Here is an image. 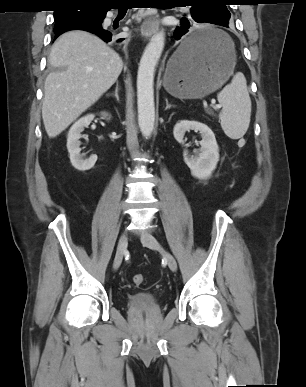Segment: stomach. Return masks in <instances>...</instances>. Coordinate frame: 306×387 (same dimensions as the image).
Instances as JSON below:
<instances>
[{
  "instance_id": "obj_1",
  "label": "stomach",
  "mask_w": 306,
  "mask_h": 387,
  "mask_svg": "<svg viewBox=\"0 0 306 387\" xmlns=\"http://www.w3.org/2000/svg\"><path fill=\"white\" fill-rule=\"evenodd\" d=\"M209 31L217 36L209 49L194 56H184L181 45L169 59L163 85L171 95L184 99L202 98L220 88L232 75L236 65L232 40L219 29L210 28Z\"/></svg>"
}]
</instances>
